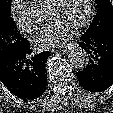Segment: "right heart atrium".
I'll return each instance as SVG.
<instances>
[{"mask_svg":"<svg viewBox=\"0 0 113 113\" xmlns=\"http://www.w3.org/2000/svg\"><path fill=\"white\" fill-rule=\"evenodd\" d=\"M11 16L17 27L26 34L37 32L43 20L42 15L24 0H13Z\"/></svg>","mask_w":113,"mask_h":113,"instance_id":"d8ad5b80","label":"right heart atrium"}]
</instances>
